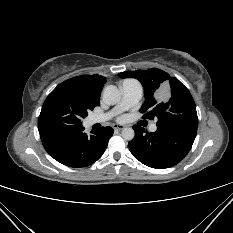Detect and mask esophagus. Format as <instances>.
Returning <instances> with one entry per match:
<instances>
[{"mask_svg": "<svg viewBox=\"0 0 233 233\" xmlns=\"http://www.w3.org/2000/svg\"><path fill=\"white\" fill-rule=\"evenodd\" d=\"M125 128V125H119V124H114L113 129L114 130H122Z\"/></svg>", "mask_w": 233, "mask_h": 233, "instance_id": "obj_1", "label": "esophagus"}]
</instances>
